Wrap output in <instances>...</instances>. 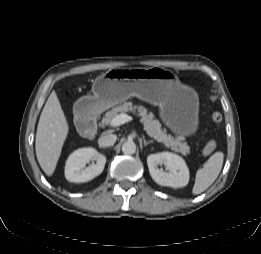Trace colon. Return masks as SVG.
<instances>
[{
    "label": "colon",
    "mask_w": 261,
    "mask_h": 254,
    "mask_svg": "<svg viewBox=\"0 0 261 254\" xmlns=\"http://www.w3.org/2000/svg\"><path fill=\"white\" fill-rule=\"evenodd\" d=\"M211 120L214 124L219 125L223 120V116L220 112H213L211 114ZM216 146H217V142L215 139L209 140L204 146L203 153L205 155L211 154L215 150Z\"/></svg>",
    "instance_id": "obj_1"
}]
</instances>
